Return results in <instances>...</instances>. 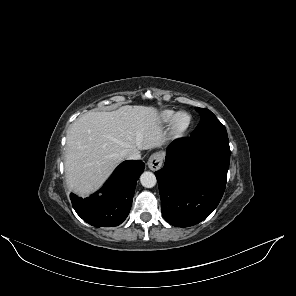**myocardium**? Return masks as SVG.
Returning a JSON list of instances; mask_svg holds the SVG:
<instances>
[{"mask_svg": "<svg viewBox=\"0 0 296 296\" xmlns=\"http://www.w3.org/2000/svg\"><path fill=\"white\" fill-rule=\"evenodd\" d=\"M185 118V121H181L182 118ZM192 124V117L191 115L186 111H179L177 112L169 127V135L171 139L177 140L181 138L190 128Z\"/></svg>", "mask_w": 296, "mask_h": 296, "instance_id": "obj_1", "label": "myocardium"}]
</instances>
